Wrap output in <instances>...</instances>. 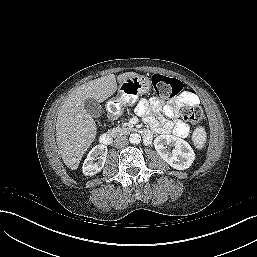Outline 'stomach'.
Returning a JSON list of instances; mask_svg holds the SVG:
<instances>
[{"mask_svg":"<svg viewBox=\"0 0 257 257\" xmlns=\"http://www.w3.org/2000/svg\"><path fill=\"white\" fill-rule=\"evenodd\" d=\"M151 82L148 77L137 75L126 79L118 89V101L123 105H132L140 95L150 91Z\"/></svg>","mask_w":257,"mask_h":257,"instance_id":"obj_1","label":"stomach"}]
</instances>
